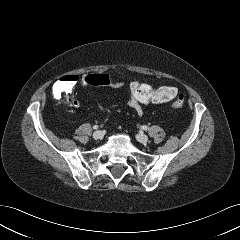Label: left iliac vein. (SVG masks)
I'll return each mask as SVG.
<instances>
[{
    "instance_id": "1",
    "label": "left iliac vein",
    "mask_w": 240,
    "mask_h": 240,
    "mask_svg": "<svg viewBox=\"0 0 240 240\" xmlns=\"http://www.w3.org/2000/svg\"><path fill=\"white\" fill-rule=\"evenodd\" d=\"M137 140L141 143H147L148 142V136L143 134V133H139L137 135Z\"/></svg>"
}]
</instances>
